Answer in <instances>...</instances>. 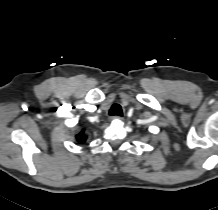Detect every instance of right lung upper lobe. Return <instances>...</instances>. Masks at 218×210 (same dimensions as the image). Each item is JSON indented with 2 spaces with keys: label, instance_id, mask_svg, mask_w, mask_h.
I'll return each mask as SVG.
<instances>
[{
  "label": "right lung upper lobe",
  "instance_id": "obj_1",
  "mask_svg": "<svg viewBox=\"0 0 218 210\" xmlns=\"http://www.w3.org/2000/svg\"><path fill=\"white\" fill-rule=\"evenodd\" d=\"M86 135L84 134V130H82L79 134L76 135V140L79 143H84L86 141Z\"/></svg>",
  "mask_w": 218,
  "mask_h": 210
}]
</instances>
